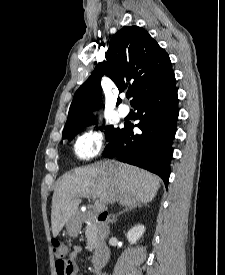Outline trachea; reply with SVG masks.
I'll list each match as a JSON object with an SVG mask.
<instances>
[{"mask_svg": "<svg viewBox=\"0 0 225 275\" xmlns=\"http://www.w3.org/2000/svg\"><path fill=\"white\" fill-rule=\"evenodd\" d=\"M126 97L129 99L131 97V93H127Z\"/></svg>", "mask_w": 225, "mask_h": 275, "instance_id": "1", "label": "trachea"}]
</instances>
